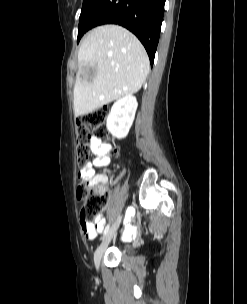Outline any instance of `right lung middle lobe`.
<instances>
[{"instance_id":"right-lung-middle-lobe-1","label":"right lung middle lobe","mask_w":247,"mask_h":304,"mask_svg":"<svg viewBox=\"0 0 247 304\" xmlns=\"http://www.w3.org/2000/svg\"><path fill=\"white\" fill-rule=\"evenodd\" d=\"M101 0H83V7L81 10L80 18H79V26H78V39L77 41L80 40L84 33L82 21L83 19L96 7V5L100 2Z\"/></svg>"}]
</instances>
